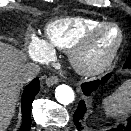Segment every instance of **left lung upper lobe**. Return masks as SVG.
Wrapping results in <instances>:
<instances>
[{
    "mask_svg": "<svg viewBox=\"0 0 131 131\" xmlns=\"http://www.w3.org/2000/svg\"><path fill=\"white\" fill-rule=\"evenodd\" d=\"M124 66H131V52H130V54L128 56V59H127V61H126Z\"/></svg>",
    "mask_w": 131,
    "mask_h": 131,
    "instance_id": "1",
    "label": "left lung upper lobe"
}]
</instances>
